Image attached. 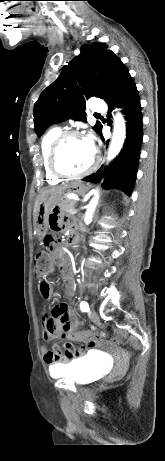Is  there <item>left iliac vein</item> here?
<instances>
[{"label":"left iliac vein","mask_w":165,"mask_h":461,"mask_svg":"<svg viewBox=\"0 0 165 461\" xmlns=\"http://www.w3.org/2000/svg\"><path fill=\"white\" fill-rule=\"evenodd\" d=\"M89 315H90V318H91V320L93 322H98L99 321L98 313L94 309L90 310Z\"/></svg>","instance_id":"1"}]
</instances>
